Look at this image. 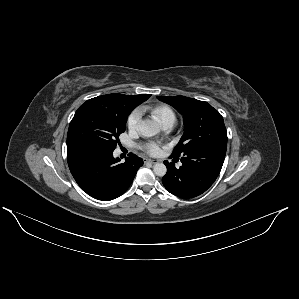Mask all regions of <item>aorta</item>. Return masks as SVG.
Returning a JSON list of instances; mask_svg holds the SVG:
<instances>
[{"mask_svg":"<svg viewBox=\"0 0 299 299\" xmlns=\"http://www.w3.org/2000/svg\"><path fill=\"white\" fill-rule=\"evenodd\" d=\"M139 131L144 137H153L159 132V126L155 121L145 119L140 122ZM153 171L155 175L163 177L167 172V168L163 163H156Z\"/></svg>","mask_w":299,"mask_h":299,"instance_id":"1","label":"aorta"}]
</instances>
